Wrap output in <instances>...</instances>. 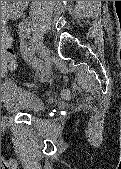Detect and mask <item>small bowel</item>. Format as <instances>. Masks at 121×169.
I'll return each mask as SVG.
<instances>
[{"mask_svg": "<svg viewBox=\"0 0 121 169\" xmlns=\"http://www.w3.org/2000/svg\"><path fill=\"white\" fill-rule=\"evenodd\" d=\"M26 1H12L9 4H4L2 8V21L5 22L7 20L15 19L20 16L23 8L25 7ZM7 40L11 45V38L8 36L6 31L3 32L1 43Z\"/></svg>", "mask_w": 121, "mask_h": 169, "instance_id": "c3829d8e", "label": "small bowel"}]
</instances>
